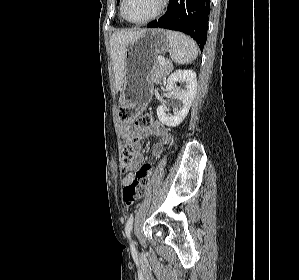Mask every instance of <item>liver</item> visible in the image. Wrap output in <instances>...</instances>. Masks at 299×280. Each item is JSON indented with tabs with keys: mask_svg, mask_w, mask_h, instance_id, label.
<instances>
[{
	"mask_svg": "<svg viewBox=\"0 0 299 280\" xmlns=\"http://www.w3.org/2000/svg\"><path fill=\"white\" fill-rule=\"evenodd\" d=\"M144 30L117 31L110 39L111 60L115 75V91L118 93L124 82L125 53L127 45Z\"/></svg>",
	"mask_w": 299,
	"mask_h": 280,
	"instance_id": "obj_1",
	"label": "liver"
}]
</instances>
